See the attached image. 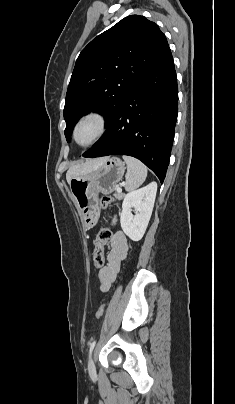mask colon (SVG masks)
<instances>
[{
	"label": "colon",
	"instance_id": "1",
	"mask_svg": "<svg viewBox=\"0 0 235 404\" xmlns=\"http://www.w3.org/2000/svg\"><path fill=\"white\" fill-rule=\"evenodd\" d=\"M113 202V198L108 195L102 196L100 203L102 208H107ZM112 237V229L103 227L99 230L94 243L93 264L96 268H101L105 262L104 247ZM105 312V305H101L96 311V318L100 319Z\"/></svg>",
	"mask_w": 235,
	"mask_h": 404
}]
</instances>
